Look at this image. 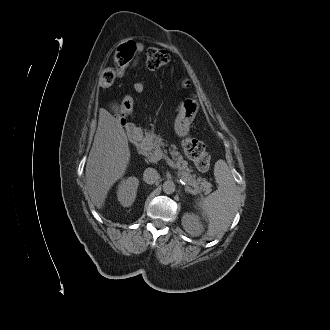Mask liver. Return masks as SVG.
I'll return each mask as SVG.
<instances>
[{
	"instance_id": "1",
	"label": "liver",
	"mask_w": 330,
	"mask_h": 330,
	"mask_svg": "<svg viewBox=\"0 0 330 330\" xmlns=\"http://www.w3.org/2000/svg\"><path fill=\"white\" fill-rule=\"evenodd\" d=\"M130 156L128 139L119 120L100 109L85 172L89 196L98 209L103 208L111 186L124 175Z\"/></svg>"
}]
</instances>
